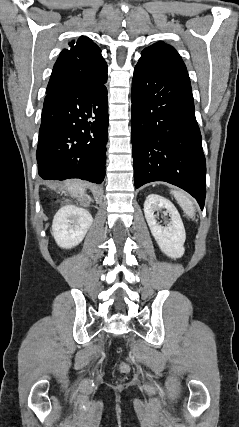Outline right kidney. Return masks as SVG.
Instances as JSON below:
<instances>
[{
    "mask_svg": "<svg viewBox=\"0 0 239 427\" xmlns=\"http://www.w3.org/2000/svg\"><path fill=\"white\" fill-rule=\"evenodd\" d=\"M92 222L93 218L86 209L67 205L54 216L52 235L58 246L70 249L82 242Z\"/></svg>",
    "mask_w": 239,
    "mask_h": 427,
    "instance_id": "right-kidney-1",
    "label": "right kidney"
}]
</instances>
